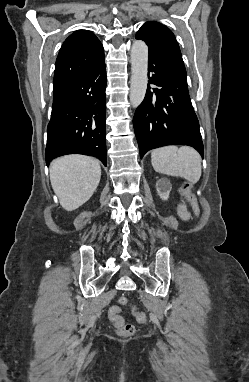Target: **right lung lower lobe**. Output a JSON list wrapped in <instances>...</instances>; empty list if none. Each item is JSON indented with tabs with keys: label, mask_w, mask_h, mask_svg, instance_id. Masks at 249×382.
I'll return each instance as SVG.
<instances>
[{
	"label": "right lung lower lobe",
	"mask_w": 249,
	"mask_h": 382,
	"mask_svg": "<svg viewBox=\"0 0 249 382\" xmlns=\"http://www.w3.org/2000/svg\"><path fill=\"white\" fill-rule=\"evenodd\" d=\"M106 70L104 54L89 70L53 95L46 164L67 154H84L106 166Z\"/></svg>",
	"instance_id": "1"
}]
</instances>
